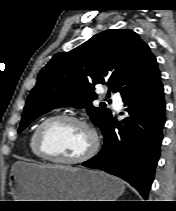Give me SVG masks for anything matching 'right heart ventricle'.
Wrapping results in <instances>:
<instances>
[{
  "label": "right heart ventricle",
  "mask_w": 176,
  "mask_h": 211,
  "mask_svg": "<svg viewBox=\"0 0 176 211\" xmlns=\"http://www.w3.org/2000/svg\"><path fill=\"white\" fill-rule=\"evenodd\" d=\"M36 128L32 131L30 137H29V148H30V151L31 153L36 157V158H39V159H43L36 151L35 149V145H34V135H35V131H36Z\"/></svg>",
  "instance_id": "obj_1"
}]
</instances>
